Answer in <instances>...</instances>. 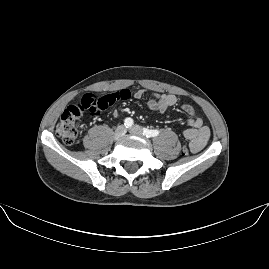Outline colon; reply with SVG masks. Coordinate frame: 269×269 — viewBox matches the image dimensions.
I'll return each mask as SVG.
<instances>
[{
	"instance_id": "1",
	"label": "colon",
	"mask_w": 269,
	"mask_h": 269,
	"mask_svg": "<svg viewBox=\"0 0 269 269\" xmlns=\"http://www.w3.org/2000/svg\"><path fill=\"white\" fill-rule=\"evenodd\" d=\"M126 92L123 89L113 92L109 96L99 97L94 94H85L79 102L69 105L61 114L60 120L55 126L57 136L68 145L77 142L80 134L85 128L86 121L82 115L87 112L92 118H95L102 110L118 100L123 99ZM182 154L187 156L189 148L184 146Z\"/></svg>"
}]
</instances>
